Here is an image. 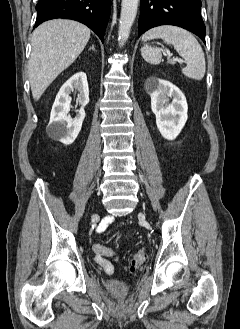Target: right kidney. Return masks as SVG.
<instances>
[{"mask_svg": "<svg viewBox=\"0 0 240 329\" xmlns=\"http://www.w3.org/2000/svg\"><path fill=\"white\" fill-rule=\"evenodd\" d=\"M76 89L79 92L77 101L81 108L74 119L68 116L70 110V93ZM89 102L87 76L84 72L74 74L67 80L58 92L50 114L47 127L48 134L65 145H70L77 138L85 118L84 106Z\"/></svg>", "mask_w": 240, "mask_h": 329, "instance_id": "right-kidney-1", "label": "right kidney"}]
</instances>
